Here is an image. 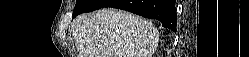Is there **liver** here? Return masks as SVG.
<instances>
[{
    "label": "liver",
    "mask_w": 249,
    "mask_h": 57,
    "mask_svg": "<svg viewBox=\"0 0 249 57\" xmlns=\"http://www.w3.org/2000/svg\"><path fill=\"white\" fill-rule=\"evenodd\" d=\"M74 27L81 57H152L158 45L152 22L118 9L82 14Z\"/></svg>",
    "instance_id": "6515ba94"
}]
</instances>
